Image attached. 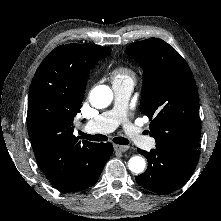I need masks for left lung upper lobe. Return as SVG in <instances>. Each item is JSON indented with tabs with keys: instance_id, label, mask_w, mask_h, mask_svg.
<instances>
[{
	"instance_id": "left-lung-upper-lobe-1",
	"label": "left lung upper lobe",
	"mask_w": 221,
	"mask_h": 221,
	"mask_svg": "<svg viewBox=\"0 0 221 221\" xmlns=\"http://www.w3.org/2000/svg\"><path fill=\"white\" fill-rule=\"evenodd\" d=\"M126 51L144 70L140 111L151 120L156 145L197 150L199 96L186 61L158 38L130 44Z\"/></svg>"
}]
</instances>
